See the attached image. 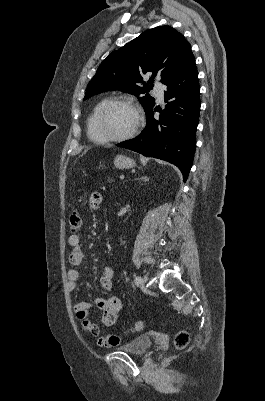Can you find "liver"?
I'll use <instances>...</instances> for the list:
<instances>
[{
  "label": "liver",
  "instance_id": "obj_1",
  "mask_svg": "<svg viewBox=\"0 0 265 401\" xmlns=\"http://www.w3.org/2000/svg\"><path fill=\"white\" fill-rule=\"evenodd\" d=\"M88 148H89V146H87V148H85L83 154H85V152H87ZM80 156H82V154H80Z\"/></svg>",
  "mask_w": 265,
  "mask_h": 401
}]
</instances>
